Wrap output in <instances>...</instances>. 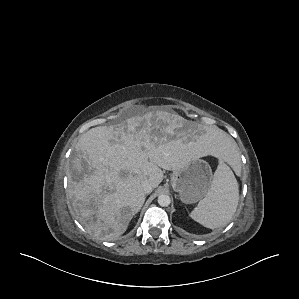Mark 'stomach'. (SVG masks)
I'll return each mask as SVG.
<instances>
[{"instance_id":"obj_1","label":"stomach","mask_w":299,"mask_h":299,"mask_svg":"<svg viewBox=\"0 0 299 299\" xmlns=\"http://www.w3.org/2000/svg\"><path fill=\"white\" fill-rule=\"evenodd\" d=\"M213 174L210 165L202 159L191 161L186 167L173 171L171 185L183 203L201 201L210 191Z\"/></svg>"}]
</instances>
